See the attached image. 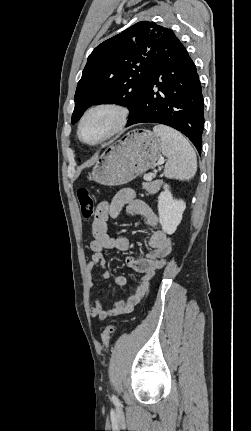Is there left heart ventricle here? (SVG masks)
Wrapping results in <instances>:
<instances>
[{"mask_svg": "<svg viewBox=\"0 0 251 431\" xmlns=\"http://www.w3.org/2000/svg\"><path fill=\"white\" fill-rule=\"evenodd\" d=\"M115 122V114L109 110H99L90 114L83 126L82 137L88 142H95L107 134Z\"/></svg>", "mask_w": 251, "mask_h": 431, "instance_id": "b2bd125f", "label": "left heart ventricle"}]
</instances>
